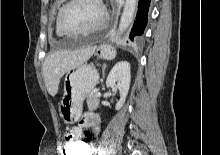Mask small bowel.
<instances>
[{
    "mask_svg": "<svg viewBox=\"0 0 220 155\" xmlns=\"http://www.w3.org/2000/svg\"><path fill=\"white\" fill-rule=\"evenodd\" d=\"M85 128H90L95 134H98L101 128L99 118L93 113H86L79 122V126H64V138L66 141L74 139H82V131ZM94 148L90 145V150L87 155H93Z\"/></svg>",
    "mask_w": 220,
    "mask_h": 155,
    "instance_id": "c3829d8e",
    "label": "small bowel"
}]
</instances>
